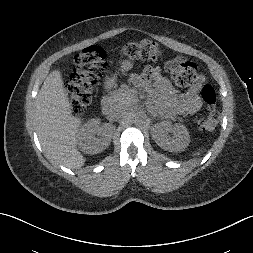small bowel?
I'll return each instance as SVG.
<instances>
[{"label": "small bowel", "instance_id": "obj_1", "mask_svg": "<svg viewBox=\"0 0 253 253\" xmlns=\"http://www.w3.org/2000/svg\"><path fill=\"white\" fill-rule=\"evenodd\" d=\"M133 82L154 93L172 113L194 114L202 106L199 87L192 86L185 92H177L163 76L160 67L148 68L141 75H133Z\"/></svg>", "mask_w": 253, "mask_h": 253}]
</instances>
